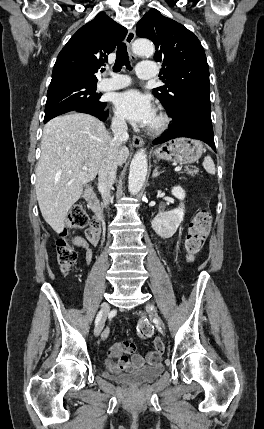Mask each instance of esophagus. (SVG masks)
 Instances as JSON below:
<instances>
[{
  "instance_id": "1",
  "label": "esophagus",
  "mask_w": 264,
  "mask_h": 429,
  "mask_svg": "<svg viewBox=\"0 0 264 429\" xmlns=\"http://www.w3.org/2000/svg\"><path fill=\"white\" fill-rule=\"evenodd\" d=\"M134 39H135V31L133 29L129 30L128 33H127V35H126L125 42H126L128 48H129V51H130L132 59L135 60L136 57L131 53V45H132ZM132 144L135 147H140V146H142L144 144V141H143V139L141 137L134 135L132 137Z\"/></svg>"
}]
</instances>
